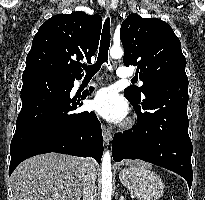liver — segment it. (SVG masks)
<instances>
[{"mask_svg":"<svg viewBox=\"0 0 205 200\" xmlns=\"http://www.w3.org/2000/svg\"><path fill=\"white\" fill-rule=\"evenodd\" d=\"M125 163L143 162L126 160ZM81 167V158L58 153L28 158L12 173V200H80ZM94 170L97 174L95 163Z\"/></svg>","mask_w":205,"mask_h":200,"instance_id":"obj_1","label":"liver"}]
</instances>
